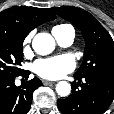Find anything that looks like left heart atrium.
<instances>
[{
	"instance_id": "obj_1",
	"label": "left heart atrium",
	"mask_w": 114,
	"mask_h": 114,
	"mask_svg": "<svg viewBox=\"0 0 114 114\" xmlns=\"http://www.w3.org/2000/svg\"><path fill=\"white\" fill-rule=\"evenodd\" d=\"M75 68L74 59L67 54L39 59L33 64V71L45 79H59Z\"/></svg>"
}]
</instances>
